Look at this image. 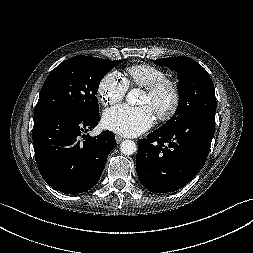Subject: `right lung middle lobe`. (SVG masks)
Returning a JSON list of instances; mask_svg holds the SVG:
<instances>
[{"mask_svg":"<svg viewBox=\"0 0 253 253\" xmlns=\"http://www.w3.org/2000/svg\"><path fill=\"white\" fill-rule=\"evenodd\" d=\"M121 60L76 56L59 64L41 89L34 116L64 112L88 118L99 113L96 93L101 79Z\"/></svg>","mask_w":253,"mask_h":253,"instance_id":"obj_1","label":"right lung middle lobe"}]
</instances>
